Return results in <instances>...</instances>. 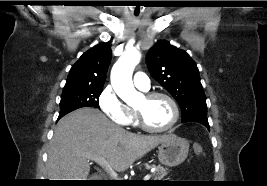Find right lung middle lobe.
I'll return each instance as SVG.
<instances>
[{
  "instance_id": "obj_1",
  "label": "right lung middle lobe",
  "mask_w": 267,
  "mask_h": 186,
  "mask_svg": "<svg viewBox=\"0 0 267 186\" xmlns=\"http://www.w3.org/2000/svg\"><path fill=\"white\" fill-rule=\"evenodd\" d=\"M103 88H64L59 115H65L82 107H99L98 99Z\"/></svg>"
}]
</instances>
